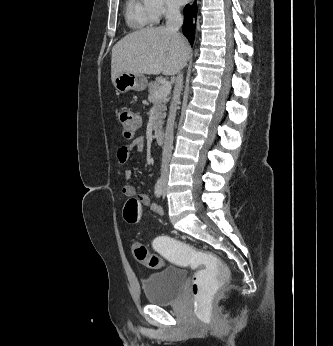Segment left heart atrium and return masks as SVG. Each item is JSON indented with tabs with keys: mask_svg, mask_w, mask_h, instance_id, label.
Wrapping results in <instances>:
<instances>
[{
	"mask_svg": "<svg viewBox=\"0 0 333 346\" xmlns=\"http://www.w3.org/2000/svg\"><path fill=\"white\" fill-rule=\"evenodd\" d=\"M176 4L178 5H182L184 4L185 2H187L188 0H173Z\"/></svg>",
	"mask_w": 333,
	"mask_h": 346,
	"instance_id": "39dd6f15",
	"label": "left heart atrium"
}]
</instances>
